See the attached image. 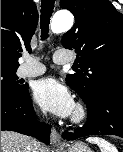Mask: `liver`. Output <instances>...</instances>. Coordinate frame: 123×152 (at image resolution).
Wrapping results in <instances>:
<instances>
[{
    "label": "liver",
    "mask_w": 123,
    "mask_h": 152,
    "mask_svg": "<svg viewBox=\"0 0 123 152\" xmlns=\"http://www.w3.org/2000/svg\"><path fill=\"white\" fill-rule=\"evenodd\" d=\"M29 146H34L37 152H44L39 142L31 140L26 135L12 131H1V152H28Z\"/></svg>",
    "instance_id": "obj_1"
}]
</instances>
